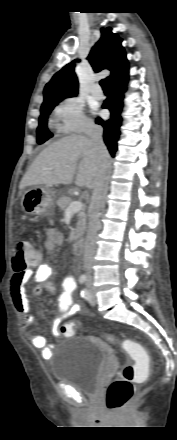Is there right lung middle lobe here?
I'll list each match as a JSON object with an SVG mask.
<instances>
[{
	"mask_svg": "<svg viewBox=\"0 0 177 440\" xmlns=\"http://www.w3.org/2000/svg\"><path fill=\"white\" fill-rule=\"evenodd\" d=\"M58 102H51V103H45L41 106V115L39 117V126L37 128V142L38 144H42L45 141H47L49 138L53 136L51 132L47 129V119L53 108L59 103Z\"/></svg>",
	"mask_w": 177,
	"mask_h": 440,
	"instance_id": "dd1d6c3e",
	"label": "right lung middle lobe"
}]
</instances>
